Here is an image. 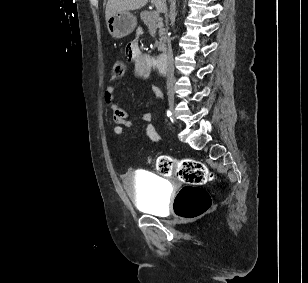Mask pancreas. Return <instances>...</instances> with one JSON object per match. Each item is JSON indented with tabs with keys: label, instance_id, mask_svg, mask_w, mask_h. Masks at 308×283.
I'll use <instances>...</instances> for the list:
<instances>
[{
	"label": "pancreas",
	"instance_id": "1",
	"mask_svg": "<svg viewBox=\"0 0 308 283\" xmlns=\"http://www.w3.org/2000/svg\"><path fill=\"white\" fill-rule=\"evenodd\" d=\"M140 17L145 23V25H147L148 27L159 29V33L162 34V37L160 39V42L157 43L158 50L165 52L167 37L165 36L163 19L159 17V13L152 11H142L140 13Z\"/></svg>",
	"mask_w": 308,
	"mask_h": 283
}]
</instances>
